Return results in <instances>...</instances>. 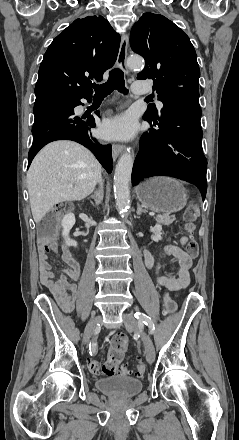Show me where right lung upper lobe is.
Listing matches in <instances>:
<instances>
[{
  "label": "right lung upper lobe",
  "instance_id": "right-lung-upper-lobe-1",
  "mask_svg": "<svg viewBox=\"0 0 239 440\" xmlns=\"http://www.w3.org/2000/svg\"><path fill=\"white\" fill-rule=\"evenodd\" d=\"M120 35L102 16L75 20L48 47L35 86L37 97L92 95L91 80L113 66Z\"/></svg>",
  "mask_w": 239,
  "mask_h": 440
}]
</instances>
